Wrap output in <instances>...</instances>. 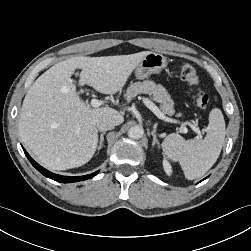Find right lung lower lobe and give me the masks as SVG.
Listing matches in <instances>:
<instances>
[{"label":"right lung lower lobe","instance_id":"1","mask_svg":"<svg viewBox=\"0 0 251 251\" xmlns=\"http://www.w3.org/2000/svg\"><path fill=\"white\" fill-rule=\"evenodd\" d=\"M23 148V147H22ZM25 155L27 156V158L29 159V161L32 163V165L40 172L42 173L44 176L53 179L57 182H61V183H71V182H78V181H83V180H87L90 179L94 176H96L99 171H96L92 174L89 175H84V176H78V177H69V176H61V175H57L54 174L48 170H46L45 168H43L42 166H40L37 162H35L30 155L26 152V150L23 148Z\"/></svg>","mask_w":251,"mask_h":251}]
</instances>
